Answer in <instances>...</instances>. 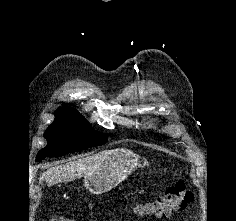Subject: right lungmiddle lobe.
I'll list each match as a JSON object with an SVG mask.
<instances>
[{"label": "right lung middle lobe", "instance_id": "obj_1", "mask_svg": "<svg viewBox=\"0 0 236 221\" xmlns=\"http://www.w3.org/2000/svg\"><path fill=\"white\" fill-rule=\"evenodd\" d=\"M44 137L48 145L39 151L36 161L98 146L107 140L106 134L94 131L76 110L67 108L56 110L55 121L47 128Z\"/></svg>", "mask_w": 236, "mask_h": 221}]
</instances>
